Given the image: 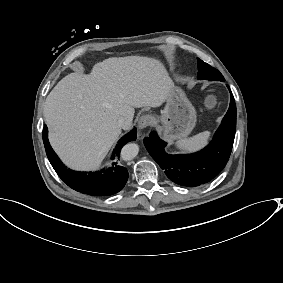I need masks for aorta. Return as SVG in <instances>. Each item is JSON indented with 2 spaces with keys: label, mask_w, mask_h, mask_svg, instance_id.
<instances>
[{
  "label": "aorta",
  "mask_w": 283,
  "mask_h": 283,
  "mask_svg": "<svg viewBox=\"0 0 283 283\" xmlns=\"http://www.w3.org/2000/svg\"><path fill=\"white\" fill-rule=\"evenodd\" d=\"M139 152V147L135 143L126 144L121 150V157L123 160L129 161L134 159Z\"/></svg>",
  "instance_id": "1"
}]
</instances>
